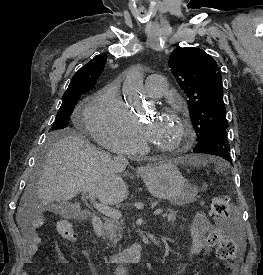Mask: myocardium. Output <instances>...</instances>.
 Masks as SVG:
<instances>
[{"instance_id":"obj_1","label":"myocardium","mask_w":263,"mask_h":275,"mask_svg":"<svg viewBox=\"0 0 263 275\" xmlns=\"http://www.w3.org/2000/svg\"><path fill=\"white\" fill-rule=\"evenodd\" d=\"M168 115L175 119L180 127L178 141L172 146H160L151 142L149 144L152 148L164 154H173L188 149L193 139V129L190 121L177 111H170Z\"/></svg>"}]
</instances>
